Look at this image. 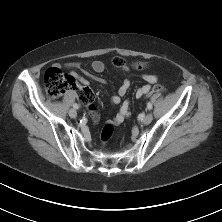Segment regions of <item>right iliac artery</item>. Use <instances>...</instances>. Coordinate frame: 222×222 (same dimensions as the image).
<instances>
[{"label": "right iliac artery", "instance_id": "1", "mask_svg": "<svg viewBox=\"0 0 222 222\" xmlns=\"http://www.w3.org/2000/svg\"><path fill=\"white\" fill-rule=\"evenodd\" d=\"M73 107L75 108V109H78L79 108V106H78V104H73Z\"/></svg>", "mask_w": 222, "mask_h": 222}]
</instances>
